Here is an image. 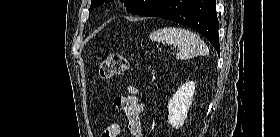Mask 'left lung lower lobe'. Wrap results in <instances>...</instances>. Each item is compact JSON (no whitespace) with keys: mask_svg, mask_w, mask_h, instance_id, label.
<instances>
[{"mask_svg":"<svg viewBox=\"0 0 280 137\" xmlns=\"http://www.w3.org/2000/svg\"><path fill=\"white\" fill-rule=\"evenodd\" d=\"M215 8L216 0H161L143 16L162 17L188 26L207 38L219 53Z\"/></svg>","mask_w":280,"mask_h":137,"instance_id":"left-lung-lower-lobe-1","label":"left lung lower lobe"}]
</instances>
